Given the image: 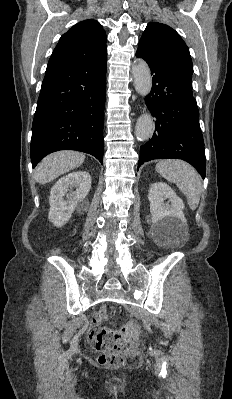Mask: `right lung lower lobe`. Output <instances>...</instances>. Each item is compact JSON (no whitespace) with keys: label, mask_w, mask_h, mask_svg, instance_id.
I'll return each instance as SVG.
<instances>
[{"label":"right lung lower lobe","mask_w":232,"mask_h":399,"mask_svg":"<svg viewBox=\"0 0 232 399\" xmlns=\"http://www.w3.org/2000/svg\"><path fill=\"white\" fill-rule=\"evenodd\" d=\"M107 56L48 63L32 125L33 168L58 150H77L103 163Z\"/></svg>","instance_id":"obj_1"}]
</instances>
